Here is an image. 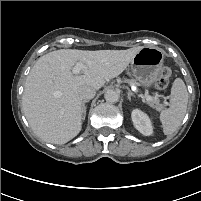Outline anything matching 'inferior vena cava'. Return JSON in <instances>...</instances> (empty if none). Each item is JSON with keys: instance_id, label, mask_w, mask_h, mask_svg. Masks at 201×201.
I'll use <instances>...</instances> for the list:
<instances>
[{"instance_id": "obj_1", "label": "inferior vena cava", "mask_w": 201, "mask_h": 201, "mask_svg": "<svg viewBox=\"0 0 201 201\" xmlns=\"http://www.w3.org/2000/svg\"><path fill=\"white\" fill-rule=\"evenodd\" d=\"M78 92H79L80 98L83 100L92 99L96 94V90L94 88L87 87V86L81 87Z\"/></svg>"}]
</instances>
